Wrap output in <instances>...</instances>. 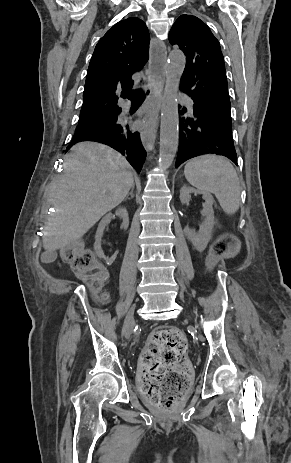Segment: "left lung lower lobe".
I'll list each match as a JSON object with an SVG mask.
<instances>
[{
    "instance_id": "obj_1",
    "label": "left lung lower lobe",
    "mask_w": 291,
    "mask_h": 463,
    "mask_svg": "<svg viewBox=\"0 0 291 463\" xmlns=\"http://www.w3.org/2000/svg\"><path fill=\"white\" fill-rule=\"evenodd\" d=\"M186 111L183 108L181 114ZM193 115V118L179 119V149L175 167L178 168L190 158L205 154L225 156L237 165L231 120L209 112L196 101Z\"/></svg>"
}]
</instances>
